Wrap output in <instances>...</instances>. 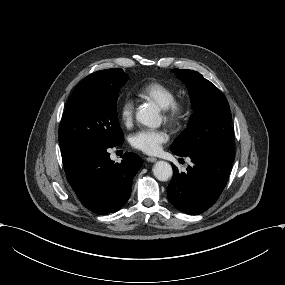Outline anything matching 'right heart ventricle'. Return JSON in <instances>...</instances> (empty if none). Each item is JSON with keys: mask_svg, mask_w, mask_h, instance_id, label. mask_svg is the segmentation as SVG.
I'll return each instance as SVG.
<instances>
[{"mask_svg": "<svg viewBox=\"0 0 285 285\" xmlns=\"http://www.w3.org/2000/svg\"><path fill=\"white\" fill-rule=\"evenodd\" d=\"M137 95L143 100L151 101L163 107L175 97V91L170 84L153 80L140 87L137 91Z\"/></svg>", "mask_w": 285, "mask_h": 285, "instance_id": "1", "label": "right heart ventricle"}]
</instances>
